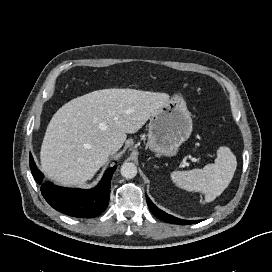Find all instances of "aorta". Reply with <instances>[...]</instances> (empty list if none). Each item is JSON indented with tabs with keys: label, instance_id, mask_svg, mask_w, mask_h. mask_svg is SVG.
Here are the masks:
<instances>
[{
	"label": "aorta",
	"instance_id": "obj_1",
	"mask_svg": "<svg viewBox=\"0 0 272 272\" xmlns=\"http://www.w3.org/2000/svg\"><path fill=\"white\" fill-rule=\"evenodd\" d=\"M137 174V167L134 163L125 162L121 166V175L126 179H132Z\"/></svg>",
	"mask_w": 272,
	"mask_h": 272
}]
</instances>
